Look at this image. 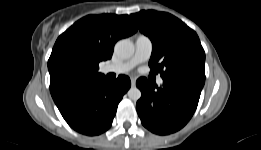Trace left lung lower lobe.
<instances>
[{
  "label": "left lung lower lobe",
  "instance_id": "obj_1",
  "mask_svg": "<svg viewBox=\"0 0 261 150\" xmlns=\"http://www.w3.org/2000/svg\"><path fill=\"white\" fill-rule=\"evenodd\" d=\"M204 82L205 77L191 73L163 78L161 87L139 78L136 85L142 96L136 109L142 124L159 135L181 129L196 110Z\"/></svg>",
  "mask_w": 261,
  "mask_h": 150
}]
</instances>
